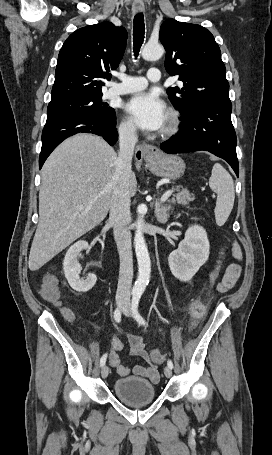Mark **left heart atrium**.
Here are the masks:
<instances>
[{"label":"left heart atrium","instance_id":"obj_1","mask_svg":"<svg viewBox=\"0 0 272 455\" xmlns=\"http://www.w3.org/2000/svg\"><path fill=\"white\" fill-rule=\"evenodd\" d=\"M125 108L133 122L145 131H159L167 120L166 106L154 93L134 95Z\"/></svg>","mask_w":272,"mask_h":455}]
</instances>
